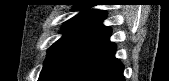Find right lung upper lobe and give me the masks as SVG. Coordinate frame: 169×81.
I'll return each mask as SVG.
<instances>
[{
    "label": "right lung upper lobe",
    "mask_w": 169,
    "mask_h": 81,
    "mask_svg": "<svg viewBox=\"0 0 169 81\" xmlns=\"http://www.w3.org/2000/svg\"><path fill=\"white\" fill-rule=\"evenodd\" d=\"M91 6H93V5H91V4L76 5V7L73 9L74 11H79V10H83V11L80 12L75 17H73L72 19H79V20L85 21L86 23H92L100 18L105 17V15H106L105 11L88 9Z\"/></svg>",
    "instance_id": "obj_1"
}]
</instances>
